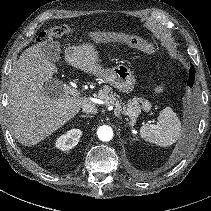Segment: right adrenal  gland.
<instances>
[{
    "mask_svg": "<svg viewBox=\"0 0 211 211\" xmlns=\"http://www.w3.org/2000/svg\"><path fill=\"white\" fill-rule=\"evenodd\" d=\"M81 117L89 118V117H91V116H90V115H82Z\"/></svg>",
    "mask_w": 211,
    "mask_h": 211,
    "instance_id": "2a0ac1e0",
    "label": "right adrenal gland"
}]
</instances>
